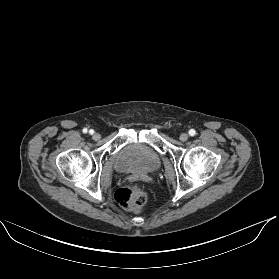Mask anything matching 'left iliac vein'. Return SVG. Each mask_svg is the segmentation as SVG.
<instances>
[{
    "label": "left iliac vein",
    "instance_id": "1",
    "mask_svg": "<svg viewBox=\"0 0 279 279\" xmlns=\"http://www.w3.org/2000/svg\"><path fill=\"white\" fill-rule=\"evenodd\" d=\"M188 134L187 133H182L181 135H180V140L182 141V142H185V141H187L188 140Z\"/></svg>",
    "mask_w": 279,
    "mask_h": 279
}]
</instances>
